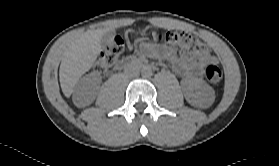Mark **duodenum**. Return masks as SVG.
<instances>
[{
  "instance_id": "410a0bca",
  "label": "duodenum",
  "mask_w": 279,
  "mask_h": 166,
  "mask_svg": "<svg viewBox=\"0 0 279 166\" xmlns=\"http://www.w3.org/2000/svg\"><path fill=\"white\" fill-rule=\"evenodd\" d=\"M146 63L142 60H135V59H125L120 61L116 65V69L118 70H123L126 68H131V67H146Z\"/></svg>"
}]
</instances>
